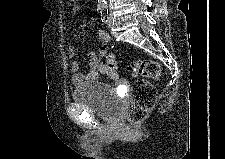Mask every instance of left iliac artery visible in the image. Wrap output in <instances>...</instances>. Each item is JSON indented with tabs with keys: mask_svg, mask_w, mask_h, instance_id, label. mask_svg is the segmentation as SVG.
<instances>
[{
	"mask_svg": "<svg viewBox=\"0 0 225 159\" xmlns=\"http://www.w3.org/2000/svg\"><path fill=\"white\" fill-rule=\"evenodd\" d=\"M101 16H102V18H101L102 22L106 23V21H107V19H108L106 13L103 12V13L101 14Z\"/></svg>",
	"mask_w": 225,
	"mask_h": 159,
	"instance_id": "1",
	"label": "left iliac artery"
}]
</instances>
